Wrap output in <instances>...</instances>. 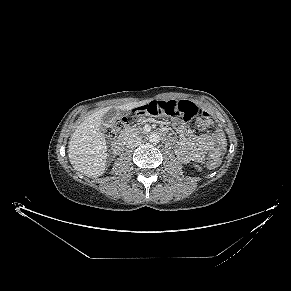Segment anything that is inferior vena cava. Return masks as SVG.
Here are the masks:
<instances>
[{
    "instance_id": "1",
    "label": "inferior vena cava",
    "mask_w": 291,
    "mask_h": 291,
    "mask_svg": "<svg viewBox=\"0 0 291 291\" xmlns=\"http://www.w3.org/2000/svg\"><path fill=\"white\" fill-rule=\"evenodd\" d=\"M141 144V139L137 136H134V137H130L128 140H127V143H126V146L128 148H136L137 146H139Z\"/></svg>"
}]
</instances>
